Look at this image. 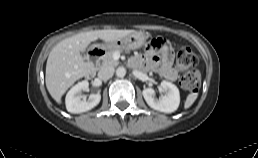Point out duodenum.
I'll return each mask as SVG.
<instances>
[{
    "label": "duodenum",
    "instance_id": "410a0bca",
    "mask_svg": "<svg viewBox=\"0 0 258 158\" xmlns=\"http://www.w3.org/2000/svg\"><path fill=\"white\" fill-rule=\"evenodd\" d=\"M104 54H105V48L101 45L94 47L89 52V56H88V61L90 64L89 77H92L94 75L95 67Z\"/></svg>",
    "mask_w": 258,
    "mask_h": 158
}]
</instances>
